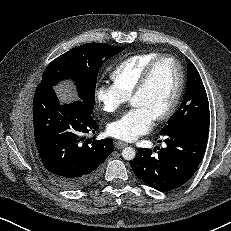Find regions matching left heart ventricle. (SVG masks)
Wrapping results in <instances>:
<instances>
[{"mask_svg": "<svg viewBox=\"0 0 231 231\" xmlns=\"http://www.w3.org/2000/svg\"><path fill=\"white\" fill-rule=\"evenodd\" d=\"M178 85V70L170 59L154 68L146 88L131 100L134 107L146 108L155 118L170 105Z\"/></svg>", "mask_w": 231, "mask_h": 231, "instance_id": "1", "label": "left heart ventricle"}]
</instances>
